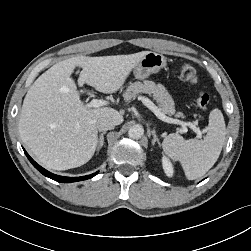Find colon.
<instances>
[{
    "instance_id": "obj_1",
    "label": "colon",
    "mask_w": 251,
    "mask_h": 251,
    "mask_svg": "<svg viewBox=\"0 0 251 251\" xmlns=\"http://www.w3.org/2000/svg\"><path fill=\"white\" fill-rule=\"evenodd\" d=\"M180 76L182 80H184L185 82L189 83L192 86H196L198 83L196 69L188 63H184L181 65ZM195 101L199 108L207 109L210 104V95L205 92L198 91V93L195 96Z\"/></svg>"
}]
</instances>
